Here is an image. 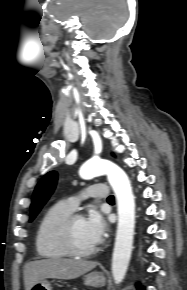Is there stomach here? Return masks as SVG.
I'll list each match as a JSON object with an SVG mask.
<instances>
[{
  "instance_id": "0dacf381",
  "label": "stomach",
  "mask_w": 187,
  "mask_h": 290,
  "mask_svg": "<svg viewBox=\"0 0 187 290\" xmlns=\"http://www.w3.org/2000/svg\"><path fill=\"white\" fill-rule=\"evenodd\" d=\"M84 284L92 287H101L105 284V277L102 273L92 272L84 276ZM30 290H51L50 282L46 279L35 283Z\"/></svg>"
}]
</instances>
